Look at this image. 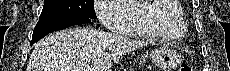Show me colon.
<instances>
[{
  "label": "colon",
  "mask_w": 230,
  "mask_h": 71,
  "mask_svg": "<svg viewBox=\"0 0 230 71\" xmlns=\"http://www.w3.org/2000/svg\"><path fill=\"white\" fill-rule=\"evenodd\" d=\"M179 71H193V68L190 65L182 64L178 68Z\"/></svg>",
  "instance_id": "colon-1"
}]
</instances>
